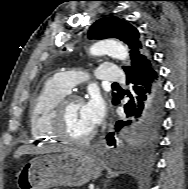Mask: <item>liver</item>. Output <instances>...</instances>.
<instances>
[{
  "mask_svg": "<svg viewBox=\"0 0 188 189\" xmlns=\"http://www.w3.org/2000/svg\"><path fill=\"white\" fill-rule=\"evenodd\" d=\"M33 150L28 146H21L17 149V151L14 154V158L18 159L20 156H22L23 154L27 153L28 151ZM56 151H63V152H79L78 150L74 149V148H57ZM38 152V151H36Z\"/></svg>",
  "mask_w": 188,
  "mask_h": 189,
  "instance_id": "6515ba94",
  "label": "liver"
}]
</instances>
